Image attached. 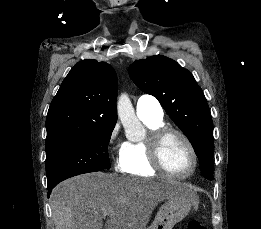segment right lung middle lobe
Masks as SVG:
<instances>
[{
    "label": "right lung middle lobe",
    "mask_w": 261,
    "mask_h": 229,
    "mask_svg": "<svg viewBox=\"0 0 261 229\" xmlns=\"http://www.w3.org/2000/svg\"><path fill=\"white\" fill-rule=\"evenodd\" d=\"M114 126L96 125L46 147L48 187L79 174L110 168L107 148Z\"/></svg>",
    "instance_id": "1"
}]
</instances>
